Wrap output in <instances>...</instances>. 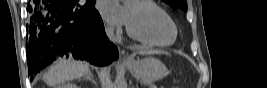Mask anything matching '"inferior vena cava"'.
<instances>
[{"mask_svg": "<svg viewBox=\"0 0 267 88\" xmlns=\"http://www.w3.org/2000/svg\"><path fill=\"white\" fill-rule=\"evenodd\" d=\"M106 34H107V36L110 38V39H113V37H114V29H113V27L112 26H108V27H106Z\"/></svg>", "mask_w": 267, "mask_h": 88, "instance_id": "inferior-vena-cava-1", "label": "inferior vena cava"}]
</instances>
